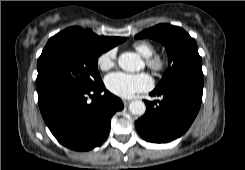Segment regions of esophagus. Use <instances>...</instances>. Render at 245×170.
<instances>
[{"label": "esophagus", "mask_w": 245, "mask_h": 170, "mask_svg": "<svg viewBox=\"0 0 245 170\" xmlns=\"http://www.w3.org/2000/svg\"><path fill=\"white\" fill-rule=\"evenodd\" d=\"M129 102H130L129 100H123V103L125 106H127L129 104Z\"/></svg>", "instance_id": "34e87169"}]
</instances>
